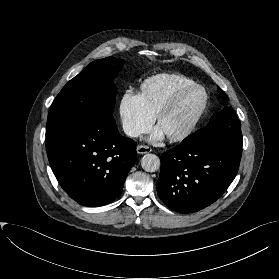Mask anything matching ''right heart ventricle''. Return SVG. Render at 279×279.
Listing matches in <instances>:
<instances>
[{
  "label": "right heart ventricle",
  "mask_w": 279,
  "mask_h": 279,
  "mask_svg": "<svg viewBox=\"0 0 279 279\" xmlns=\"http://www.w3.org/2000/svg\"><path fill=\"white\" fill-rule=\"evenodd\" d=\"M194 84L193 79L181 73H160L145 79L139 94L149 113L155 117L177 92Z\"/></svg>",
  "instance_id": "obj_1"
}]
</instances>
